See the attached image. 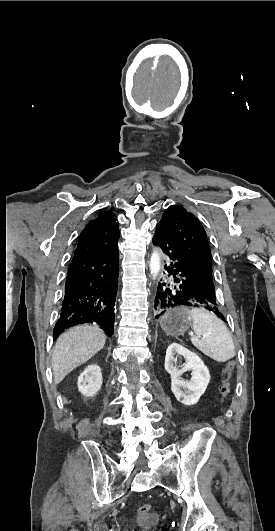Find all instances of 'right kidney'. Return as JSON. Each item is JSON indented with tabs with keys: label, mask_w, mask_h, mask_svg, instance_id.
Returning a JSON list of instances; mask_svg holds the SVG:
<instances>
[{
	"label": "right kidney",
	"mask_w": 275,
	"mask_h": 531,
	"mask_svg": "<svg viewBox=\"0 0 275 531\" xmlns=\"http://www.w3.org/2000/svg\"><path fill=\"white\" fill-rule=\"evenodd\" d=\"M103 383V377L98 365H88L78 377V391L84 397H94L100 391Z\"/></svg>",
	"instance_id": "ca27d5eb"
}]
</instances>
